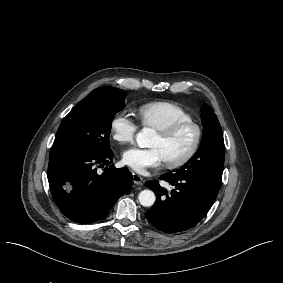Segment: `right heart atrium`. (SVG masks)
I'll return each instance as SVG.
<instances>
[{"mask_svg": "<svg viewBox=\"0 0 283 283\" xmlns=\"http://www.w3.org/2000/svg\"><path fill=\"white\" fill-rule=\"evenodd\" d=\"M138 125L124 112H116L109 122V135L117 144H129L134 140Z\"/></svg>", "mask_w": 283, "mask_h": 283, "instance_id": "d8ad5b80", "label": "right heart atrium"}]
</instances>
